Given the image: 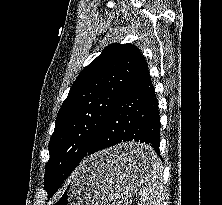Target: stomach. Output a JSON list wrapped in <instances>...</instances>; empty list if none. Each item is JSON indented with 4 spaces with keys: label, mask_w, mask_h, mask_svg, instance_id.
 Listing matches in <instances>:
<instances>
[{
    "label": "stomach",
    "mask_w": 222,
    "mask_h": 205,
    "mask_svg": "<svg viewBox=\"0 0 222 205\" xmlns=\"http://www.w3.org/2000/svg\"><path fill=\"white\" fill-rule=\"evenodd\" d=\"M152 149L142 143H126L94 154L73 173L51 205H122L144 183L152 160L136 166L122 161L131 151Z\"/></svg>",
    "instance_id": "obj_1"
}]
</instances>
